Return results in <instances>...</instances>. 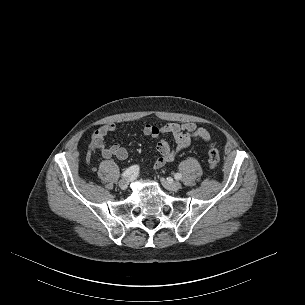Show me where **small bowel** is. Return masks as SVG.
<instances>
[{
    "label": "small bowel",
    "instance_id": "obj_1",
    "mask_svg": "<svg viewBox=\"0 0 305 305\" xmlns=\"http://www.w3.org/2000/svg\"><path fill=\"white\" fill-rule=\"evenodd\" d=\"M141 132L156 140V151L158 156L153 161V169L158 170L166 164L171 163L177 155L187 148L192 141L202 140L208 141L210 134L207 129L198 126L194 122L187 123H167L162 126L145 124L141 127ZM116 131L114 123H108L101 126L94 136L95 145L100 148L104 158L116 157L119 160H125L128 157L127 150L121 145L115 143L109 147L105 146V137ZM163 134L173 136L176 147H171L170 144L162 137Z\"/></svg>",
    "mask_w": 305,
    "mask_h": 305
}]
</instances>
